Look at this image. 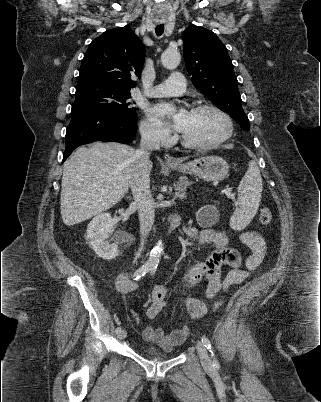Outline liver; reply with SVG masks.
<instances>
[{"label": "liver", "mask_w": 321, "mask_h": 402, "mask_svg": "<svg viewBox=\"0 0 321 402\" xmlns=\"http://www.w3.org/2000/svg\"><path fill=\"white\" fill-rule=\"evenodd\" d=\"M136 150L120 143L79 147L64 163L61 216L65 225L83 222L117 204L127 193ZM149 163V173L152 170Z\"/></svg>", "instance_id": "1"}]
</instances>
